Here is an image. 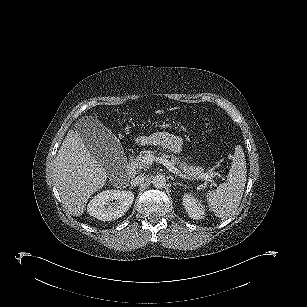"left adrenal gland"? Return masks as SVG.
Wrapping results in <instances>:
<instances>
[{"instance_id":"obj_1","label":"left adrenal gland","mask_w":307,"mask_h":307,"mask_svg":"<svg viewBox=\"0 0 307 307\" xmlns=\"http://www.w3.org/2000/svg\"><path fill=\"white\" fill-rule=\"evenodd\" d=\"M174 185L176 186V185H180L181 186V183L180 182H177V183H174Z\"/></svg>"}]
</instances>
